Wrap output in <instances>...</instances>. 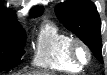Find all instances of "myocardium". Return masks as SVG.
Listing matches in <instances>:
<instances>
[{
  "mask_svg": "<svg viewBox=\"0 0 107 75\" xmlns=\"http://www.w3.org/2000/svg\"><path fill=\"white\" fill-rule=\"evenodd\" d=\"M82 50L85 53V58L82 59L79 55V51ZM69 54L71 59L79 66L84 67L91 61V50L86 43L80 39L73 38L69 46Z\"/></svg>",
  "mask_w": 107,
  "mask_h": 75,
  "instance_id": "1",
  "label": "myocardium"
}]
</instances>
